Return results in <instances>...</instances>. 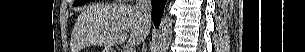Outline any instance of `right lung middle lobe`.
Segmentation results:
<instances>
[{"label":"right lung middle lobe","instance_id":"dd1d6c3e","mask_svg":"<svg viewBox=\"0 0 305 52\" xmlns=\"http://www.w3.org/2000/svg\"><path fill=\"white\" fill-rule=\"evenodd\" d=\"M88 1H90V0H77L73 3V5L78 6V5L84 4Z\"/></svg>","mask_w":305,"mask_h":52}]
</instances>
